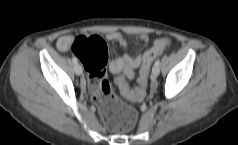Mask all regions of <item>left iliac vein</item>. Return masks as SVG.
<instances>
[{"instance_id": "4c4485c4", "label": "left iliac vein", "mask_w": 238, "mask_h": 145, "mask_svg": "<svg viewBox=\"0 0 238 145\" xmlns=\"http://www.w3.org/2000/svg\"><path fill=\"white\" fill-rule=\"evenodd\" d=\"M160 73V69L158 65H154L152 68V76L157 77Z\"/></svg>"}]
</instances>
